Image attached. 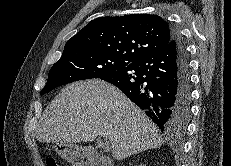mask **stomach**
Instances as JSON below:
<instances>
[{"instance_id": "stomach-1", "label": "stomach", "mask_w": 231, "mask_h": 166, "mask_svg": "<svg viewBox=\"0 0 231 166\" xmlns=\"http://www.w3.org/2000/svg\"><path fill=\"white\" fill-rule=\"evenodd\" d=\"M53 150L64 160L82 166L87 158L86 150L73 143H55Z\"/></svg>"}]
</instances>
